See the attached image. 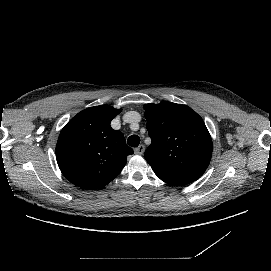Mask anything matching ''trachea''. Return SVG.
I'll use <instances>...</instances> for the list:
<instances>
[{
    "instance_id": "3493384b",
    "label": "trachea",
    "mask_w": 271,
    "mask_h": 271,
    "mask_svg": "<svg viewBox=\"0 0 271 271\" xmlns=\"http://www.w3.org/2000/svg\"><path fill=\"white\" fill-rule=\"evenodd\" d=\"M127 143L131 147H137L140 143V138L137 135H131L128 138Z\"/></svg>"
}]
</instances>
